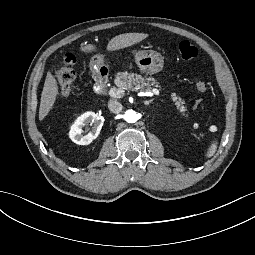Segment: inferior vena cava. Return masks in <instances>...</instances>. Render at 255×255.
Listing matches in <instances>:
<instances>
[{"label": "inferior vena cava", "instance_id": "602c4592", "mask_svg": "<svg viewBox=\"0 0 255 255\" xmlns=\"http://www.w3.org/2000/svg\"><path fill=\"white\" fill-rule=\"evenodd\" d=\"M109 109L113 112V113H120L122 111V104L119 103L117 100H110L108 103Z\"/></svg>", "mask_w": 255, "mask_h": 255}]
</instances>
